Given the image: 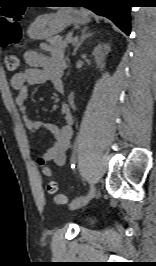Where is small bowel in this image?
<instances>
[{"mask_svg": "<svg viewBox=\"0 0 156 266\" xmlns=\"http://www.w3.org/2000/svg\"><path fill=\"white\" fill-rule=\"evenodd\" d=\"M43 49L50 51V55L37 50H28L24 53L28 67L23 72L14 74L10 84L16 92L15 104L22 114L26 128L31 132L45 130L52 134V145L40 158L43 161H53L56 165L63 166L73 135L74 118L70 106L63 104L60 108L64 120L61 127L32 119L27 113L29 86L49 83L58 93L64 92L62 77L66 67L65 57L58 49H51L47 45H44Z\"/></svg>", "mask_w": 156, "mask_h": 266, "instance_id": "1", "label": "small bowel"}]
</instances>
